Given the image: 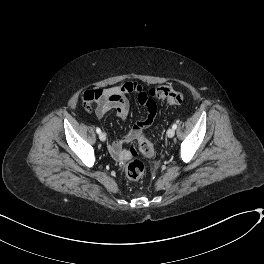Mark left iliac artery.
<instances>
[{"label":"left iliac artery","mask_w":264,"mask_h":264,"mask_svg":"<svg viewBox=\"0 0 264 264\" xmlns=\"http://www.w3.org/2000/svg\"><path fill=\"white\" fill-rule=\"evenodd\" d=\"M172 128L176 129L177 128V124H173Z\"/></svg>","instance_id":"obj_1"}]
</instances>
